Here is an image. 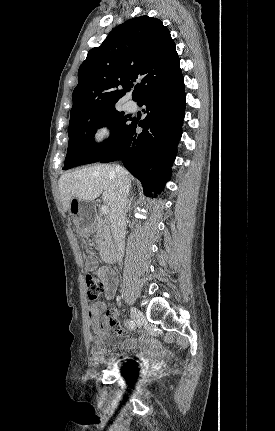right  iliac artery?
Here are the masks:
<instances>
[{"instance_id": "obj_1", "label": "right iliac artery", "mask_w": 275, "mask_h": 431, "mask_svg": "<svg viewBox=\"0 0 275 431\" xmlns=\"http://www.w3.org/2000/svg\"><path fill=\"white\" fill-rule=\"evenodd\" d=\"M128 327H129L130 329H134L135 324L133 323V321H132V320H131V321H128Z\"/></svg>"}]
</instances>
